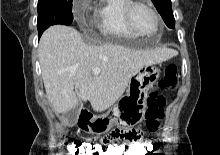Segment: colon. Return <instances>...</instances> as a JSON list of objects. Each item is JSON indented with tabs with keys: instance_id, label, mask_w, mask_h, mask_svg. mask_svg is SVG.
<instances>
[{
	"instance_id": "obj_1",
	"label": "colon",
	"mask_w": 220,
	"mask_h": 155,
	"mask_svg": "<svg viewBox=\"0 0 220 155\" xmlns=\"http://www.w3.org/2000/svg\"><path fill=\"white\" fill-rule=\"evenodd\" d=\"M178 82L177 67H166L162 78L158 83V89H171ZM158 89L150 92L145 111L147 129L151 132L158 130L164 116L165 99ZM94 145V143L73 141L69 144L71 154L75 155H155L156 143L153 139H140L139 141H126L124 146Z\"/></svg>"
}]
</instances>
